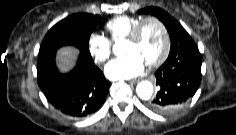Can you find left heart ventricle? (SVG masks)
Segmentation results:
<instances>
[{"label": "left heart ventricle", "mask_w": 236, "mask_h": 135, "mask_svg": "<svg viewBox=\"0 0 236 135\" xmlns=\"http://www.w3.org/2000/svg\"><path fill=\"white\" fill-rule=\"evenodd\" d=\"M163 33L152 21L147 22L136 43H125V55L138 54L145 63L155 60L163 47Z\"/></svg>", "instance_id": "1"}]
</instances>
